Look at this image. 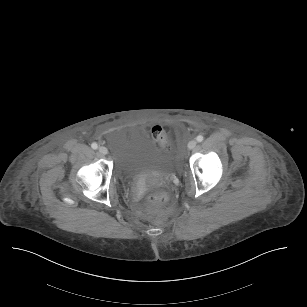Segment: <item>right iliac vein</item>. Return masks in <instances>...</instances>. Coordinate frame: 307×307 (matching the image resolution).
Returning <instances> with one entry per match:
<instances>
[{
    "mask_svg": "<svg viewBox=\"0 0 307 307\" xmlns=\"http://www.w3.org/2000/svg\"><path fill=\"white\" fill-rule=\"evenodd\" d=\"M98 151L102 154V155H107L108 154V149L105 146H100L98 148Z\"/></svg>",
    "mask_w": 307,
    "mask_h": 307,
    "instance_id": "right-iliac-vein-1",
    "label": "right iliac vein"
}]
</instances>
